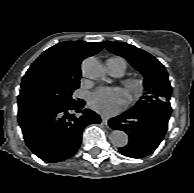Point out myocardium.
Returning a JSON list of instances; mask_svg holds the SVG:
<instances>
[{"instance_id": "f54148a6", "label": "myocardium", "mask_w": 194, "mask_h": 193, "mask_svg": "<svg viewBox=\"0 0 194 193\" xmlns=\"http://www.w3.org/2000/svg\"><path fill=\"white\" fill-rule=\"evenodd\" d=\"M125 88L130 102L136 101L145 90V81L142 78L129 79L125 83Z\"/></svg>"}]
</instances>
